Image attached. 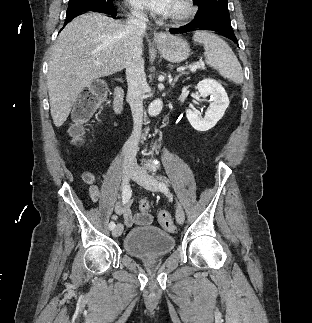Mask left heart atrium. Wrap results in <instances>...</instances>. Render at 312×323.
<instances>
[{
    "mask_svg": "<svg viewBox=\"0 0 312 323\" xmlns=\"http://www.w3.org/2000/svg\"><path fill=\"white\" fill-rule=\"evenodd\" d=\"M128 3L138 12H171L173 8L171 0H128Z\"/></svg>",
    "mask_w": 312,
    "mask_h": 323,
    "instance_id": "1",
    "label": "left heart atrium"
}]
</instances>
